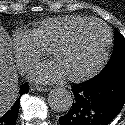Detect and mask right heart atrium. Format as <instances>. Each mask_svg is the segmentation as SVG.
Returning <instances> with one entry per match:
<instances>
[{
    "label": "right heart atrium",
    "instance_id": "1",
    "mask_svg": "<svg viewBox=\"0 0 125 125\" xmlns=\"http://www.w3.org/2000/svg\"><path fill=\"white\" fill-rule=\"evenodd\" d=\"M10 46L16 63L22 71L29 70L46 54V49L39 44L33 32L28 29L15 30Z\"/></svg>",
    "mask_w": 125,
    "mask_h": 125
}]
</instances>
